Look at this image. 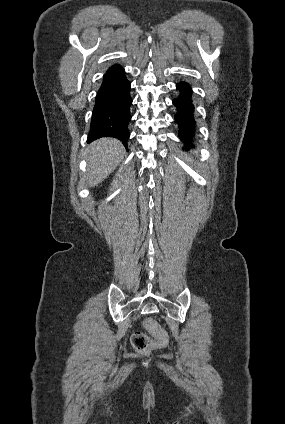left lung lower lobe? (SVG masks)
<instances>
[{"label": "left lung lower lobe", "instance_id": "0a47b994", "mask_svg": "<svg viewBox=\"0 0 285 424\" xmlns=\"http://www.w3.org/2000/svg\"><path fill=\"white\" fill-rule=\"evenodd\" d=\"M179 96L173 99V104L177 108L175 121L179 125V138L185 146H189L195 131L194 105L192 103V88L187 82H180L176 85Z\"/></svg>", "mask_w": 285, "mask_h": 424}]
</instances>
